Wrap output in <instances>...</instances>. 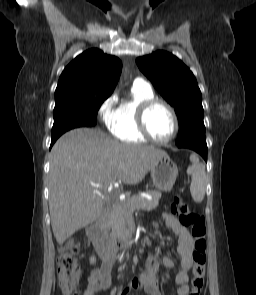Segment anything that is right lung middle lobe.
<instances>
[{"mask_svg":"<svg viewBox=\"0 0 256 295\" xmlns=\"http://www.w3.org/2000/svg\"><path fill=\"white\" fill-rule=\"evenodd\" d=\"M106 98L83 100L79 102L56 103L52 133L84 125L97 118V112Z\"/></svg>","mask_w":256,"mask_h":295,"instance_id":"obj_1","label":"right lung middle lobe"}]
</instances>
